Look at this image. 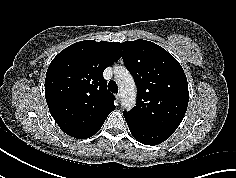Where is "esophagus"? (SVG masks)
Instances as JSON below:
<instances>
[{"instance_id":"1","label":"esophagus","mask_w":236,"mask_h":178,"mask_svg":"<svg viewBox=\"0 0 236 178\" xmlns=\"http://www.w3.org/2000/svg\"><path fill=\"white\" fill-rule=\"evenodd\" d=\"M116 99H117V101L119 102L120 99H121V95H120V94H117V95H116Z\"/></svg>"}]
</instances>
